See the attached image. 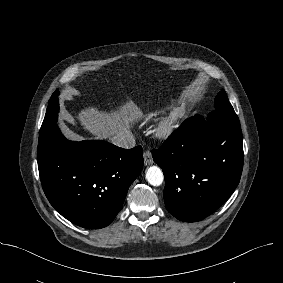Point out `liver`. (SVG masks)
<instances>
[{"label": "liver", "instance_id": "6515ba94", "mask_svg": "<svg viewBox=\"0 0 283 283\" xmlns=\"http://www.w3.org/2000/svg\"><path fill=\"white\" fill-rule=\"evenodd\" d=\"M143 117V113L138 106L130 100L120 107L117 112L107 114L99 111L96 107L89 106L78 112L76 119L69 116L68 120L97 139H107L111 135L125 131L130 124Z\"/></svg>", "mask_w": 283, "mask_h": 283}]
</instances>
